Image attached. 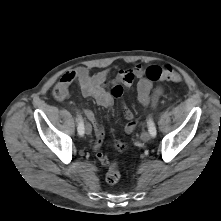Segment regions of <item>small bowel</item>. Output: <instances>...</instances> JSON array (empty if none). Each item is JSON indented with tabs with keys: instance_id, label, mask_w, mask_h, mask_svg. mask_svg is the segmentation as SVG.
Returning <instances> with one entry per match:
<instances>
[{
	"instance_id": "c3829d8e",
	"label": "small bowel",
	"mask_w": 221,
	"mask_h": 221,
	"mask_svg": "<svg viewBox=\"0 0 221 221\" xmlns=\"http://www.w3.org/2000/svg\"><path fill=\"white\" fill-rule=\"evenodd\" d=\"M110 77V69H103L94 74L90 73L87 67L79 66L74 70L65 73L58 84L66 89L68 96V89L73 82H77L82 95L84 97L92 98L102 107H110L115 104L118 97L113 92V89L118 86H131L135 81L137 100L144 106H155L163 89L161 87H153L152 83L145 77V69L141 64H137L133 69L120 71L112 80V86L107 85ZM84 115L87 120L93 125L95 130V137L93 140V150L97 160L105 167L109 166L110 159L102 151V144L104 140V130L98 122L95 113L88 108L84 109ZM125 118L129 121L125 126L124 131L131 133L134 130L135 122L133 113L127 109ZM117 146L121 150H125L124 144L118 142Z\"/></svg>"
}]
</instances>
